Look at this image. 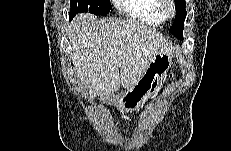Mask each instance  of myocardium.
Returning <instances> with one entry per match:
<instances>
[{
	"label": "myocardium",
	"mask_w": 231,
	"mask_h": 151,
	"mask_svg": "<svg viewBox=\"0 0 231 151\" xmlns=\"http://www.w3.org/2000/svg\"><path fill=\"white\" fill-rule=\"evenodd\" d=\"M159 13L163 19H171L175 16L176 9L174 1L159 0Z\"/></svg>",
	"instance_id": "obj_1"
}]
</instances>
